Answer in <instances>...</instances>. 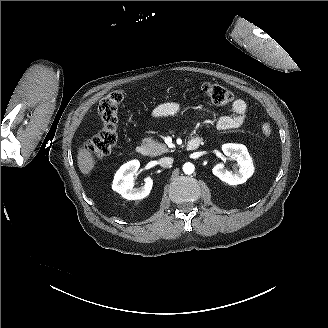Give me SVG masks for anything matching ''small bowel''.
<instances>
[{"mask_svg": "<svg viewBox=\"0 0 328 328\" xmlns=\"http://www.w3.org/2000/svg\"><path fill=\"white\" fill-rule=\"evenodd\" d=\"M181 112L180 104L176 102H167L158 105L152 111L153 118H164ZM232 115L222 116L215 122L218 130H234L240 128L247 116V104L242 99H236L232 104Z\"/></svg>", "mask_w": 328, "mask_h": 328, "instance_id": "small-bowel-1", "label": "small bowel"}]
</instances>
